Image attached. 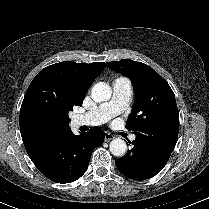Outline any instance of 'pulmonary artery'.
<instances>
[{
	"label": "pulmonary artery",
	"instance_id": "obj_1",
	"mask_svg": "<svg viewBox=\"0 0 209 209\" xmlns=\"http://www.w3.org/2000/svg\"><path fill=\"white\" fill-rule=\"evenodd\" d=\"M132 95L131 84L127 79L119 78L113 83V95L109 103L100 106L97 110L84 115H78L75 123L78 126H97L108 121L112 116L122 111ZM136 136L131 135L130 140Z\"/></svg>",
	"mask_w": 209,
	"mask_h": 209
}]
</instances>
